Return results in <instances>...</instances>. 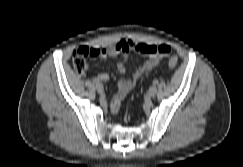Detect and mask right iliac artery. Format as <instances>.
Here are the masks:
<instances>
[{
  "mask_svg": "<svg viewBox=\"0 0 243 167\" xmlns=\"http://www.w3.org/2000/svg\"><path fill=\"white\" fill-rule=\"evenodd\" d=\"M94 83H95L96 85L100 84L99 80H97V79H94Z\"/></svg>",
  "mask_w": 243,
  "mask_h": 167,
  "instance_id": "right-iliac-artery-1",
  "label": "right iliac artery"
}]
</instances>
